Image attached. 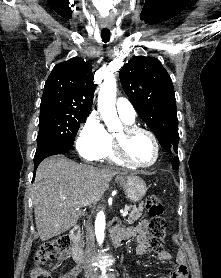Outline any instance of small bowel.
<instances>
[{
	"label": "small bowel",
	"instance_id": "1",
	"mask_svg": "<svg viewBox=\"0 0 221 278\" xmlns=\"http://www.w3.org/2000/svg\"><path fill=\"white\" fill-rule=\"evenodd\" d=\"M147 228L148 221L142 220L137 226L127 229V237H134L138 243L136 247V253L138 255H146L148 254L147 243ZM157 258L163 262H167L171 259V255L166 250H162L157 252ZM80 273V269L73 268L71 271L61 276L60 278H76V276ZM187 275V264L185 255L179 252L176 256V269L169 275L161 276L159 278H186Z\"/></svg>",
	"mask_w": 221,
	"mask_h": 278
}]
</instances>
